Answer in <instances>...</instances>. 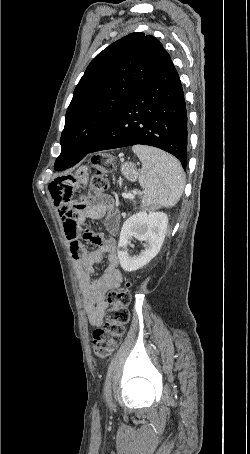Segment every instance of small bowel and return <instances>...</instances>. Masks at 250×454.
I'll return each instance as SVG.
<instances>
[{
    "label": "small bowel",
    "mask_w": 250,
    "mask_h": 454,
    "mask_svg": "<svg viewBox=\"0 0 250 454\" xmlns=\"http://www.w3.org/2000/svg\"><path fill=\"white\" fill-rule=\"evenodd\" d=\"M87 182L82 172L75 177H59L49 186L54 205L61 217L64 232L70 245L76 276L83 291L88 321L91 326L102 325L108 304L105 295L118 287L122 274L115 234L118 230L120 214L111 196L103 195L96 199L76 197L74 191ZM86 219L103 220L111 236L82 231ZM81 238L97 245L87 250ZM107 256L108 266L102 276L93 278L94 266Z\"/></svg>",
    "instance_id": "obj_1"
}]
</instances>
